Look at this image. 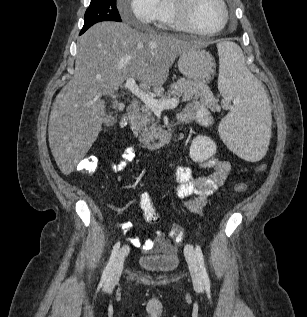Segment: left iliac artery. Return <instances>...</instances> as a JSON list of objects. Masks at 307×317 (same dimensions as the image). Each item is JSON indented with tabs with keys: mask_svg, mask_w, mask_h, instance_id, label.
<instances>
[{
	"mask_svg": "<svg viewBox=\"0 0 307 317\" xmlns=\"http://www.w3.org/2000/svg\"><path fill=\"white\" fill-rule=\"evenodd\" d=\"M196 255H197V258H198V261H199V265H200V269H201V273H202V278L204 280V284L208 288V287H210V280H209L208 273H207V270H206V267H205L203 253H202V250H201L199 245L196 246Z\"/></svg>",
	"mask_w": 307,
	"mask_h": 317,
	"instance_id": "1",
	"label": "left iliac artery"
}]
</instances>
